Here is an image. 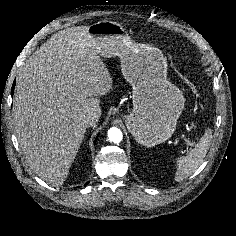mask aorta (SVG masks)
<instances>
[{"label": "aorta", "instance_id": "1", "mask_svg": "<svg viewBox=\"0 0 236 236\" xmlns=\"http://www.w3.org/2000/svg\"><path fill=\"white\" fill-rule=\"evenodd\" d=\"M108 138L113 143H120L122 141L123 135L120 129L113 127L108 130Z\"/></svg>", "mask_w": 236, "mask_h": 236}]
</instances>
